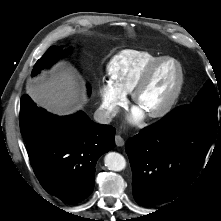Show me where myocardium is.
Returning a JSON list of instances; mask_svg holds the SVG:
<instances>
[{"label":"myocardium","instance_id":"myocardium-1","mask_svg":"<svg viewBox=\"0 0 221 221\" xmlns=\"http://www.w3.org/2000/svg\"><path fill=\"white\" fill-rule=\"evenodd\" d=\"M165 62H173L176 65L178 71V79L176 82L175 89L172 95L170 96V98L159 108L146 112V114L151 118H161L167 115L178 102L185 83V73L181 62L176 58L170 56H164L158 58L148 66V68L145 70L142 77L137 82V84L135 85L134 89L131 92L132 100L134 104L137 105L140 95L149 85L156 69Z\"/></svg>","mask_w":221,"mask_h":221}]
</instances>
